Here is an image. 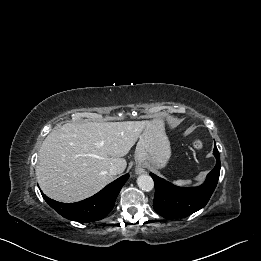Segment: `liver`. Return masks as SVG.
I'll return each instance as SVG.
<instances>
[{
  "mask_svg": "<svg viewBox=\"0 0 261 261\" xmlns=\"http://www.w3.org/2000/svg\"><path fill=\"white\" fill-rule=\"evenodd\" d=\"M150 121L66 123L52 130L39 150L36 175L49 198L59 202L86 199L109 184L112 166L122 173L123 158ZM119 173V174H120Z\"/></svg>",
  "mask_w": 261,
  "mask_h": 261,
  "instance_id": "1",
  "label": "liver"
}]
</instances>
